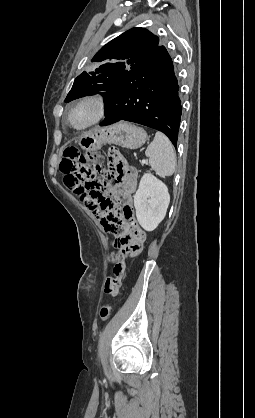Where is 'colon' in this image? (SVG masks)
<instances>
[{"mask_svg":"<svg viewBox=\"0 0 255 418\" xmlns=\"http://www.w3.org/2000/svg\"><path fill=\"white\" fill-rule=\"evenodd\" d=\"M101 161L99 154H84L76 147H66L60 163L66 187L80 197L95 216L96 221H109L110 228H140L133 218L117 222V208L115 203L106 196L109 186L105 180L114 177L117 169L114 163H110L109 168H104ZM98 175L104 179H98ZM115 241H118L117 237ZM111 308L110 303L102 305L99 313L102 321L109 318Z\"/></svg>","mask_w":255,"mask_h":418,"instance_id":"obj_1","label":"colon"}]
</instances>
